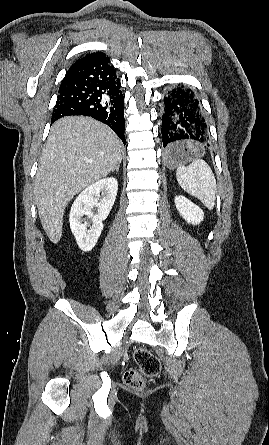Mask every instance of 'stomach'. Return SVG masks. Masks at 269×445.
Instances as JSON below:
<instances>
[{"label":"stomach","instance_id":"0dacf381","mask_svg":"<svg viewBox=\"0 0 269 445\" xmlns=\"http://www.w3.org/2000/svg\"><path fill=\"white\" fill-rule=\"evenodd\" d=\"M188 150L186 151L185 148H182L175 153H168L165 156V164L169 168H174L180 164H186L192 158L194 157V154H191L192 151H197L196 146L192 145L191 147L188 146Z\"/></svg>","mask_w":269,"mask_h":445}]
</instances>
